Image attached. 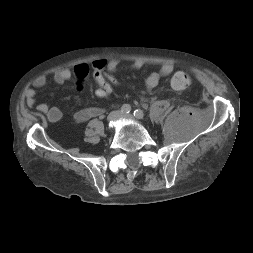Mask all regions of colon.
I'll list each match as a JSON object with an SVG mask.
<instances>
[{"label": "colon", "mask_w": 253, "mask_h": 253, "mask_svg": "<svg viewBox=\"0 0 253 253\" xmlns=\"http://www.w3.org/2000/svg\"><path fill=\"white\" fill-rule=\"evenodd\" d=\"M92 76L97 85V95L107 97L114 86L119 85V80L114 73L107 69V62L98 59L92 63ZM191 85V78L185 72L176 73L171 79V86L176 90L187 89Z\"/></svg>", "instance_id": "1"}]
</instances>
